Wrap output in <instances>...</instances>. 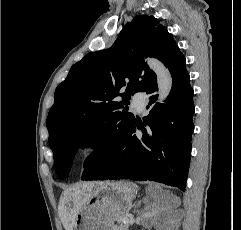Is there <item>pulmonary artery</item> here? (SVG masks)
Masks as SVG:
<instances>
[{"mask_svg": "<svg viewBox=\"0 0 241 230\" xmlns=\"http://www.w3.org/2000/svg\"><path fill=\"white\" fill-rule=\"evenodd\" d=\"M146 103V95L144 93H137L132 98V106L142 111Z\"/></svg>", "mask_w": 241, "mask_h": 230, "instance_id": "e3ab8cb5", "label": "pulmonary artery"}]
</instances>
